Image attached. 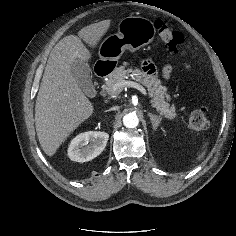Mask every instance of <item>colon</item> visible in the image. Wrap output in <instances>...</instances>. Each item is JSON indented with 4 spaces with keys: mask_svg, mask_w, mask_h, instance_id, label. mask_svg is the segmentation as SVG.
Here are the masks:
<instances>
[{
    "mask_svg": "<svg viewBox=\"0 0 236 236\" xmlns=\"http://www.w3.org/2000/svg\"><path fill=\"white\" fill-rule=\"evenodd\" d=\"M156 29L165 43L166 49L170 52L179 51L183 44V36L178 31L169 27L162 21L156 23ZM188 127L190 130L199 132L208 129L209 120L206 116L204 108L194 110L188 119Z\"/></svg>",
    "mask_w": 236,
    "mask_h": 236,
    "instance_id": "5ec220e1",
    "label": "colon"
}]
</instances>
